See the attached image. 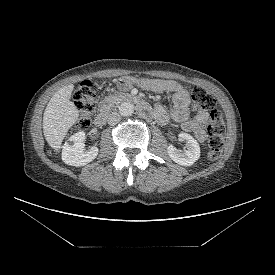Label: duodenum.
Listing matches in <instances>:
<instances>
[{
	"mask_svg": "<svg viewBox=\"0 0 275 275\" xmlns=\"http://www.w3.org/2000/svg\"><path fill=\"white\" fill-rule=\"evenodd\" d=\"M127 100L134 102L137 105L141 115L146 117L154 115L151 106L144 100L140 99L139 97L130 96L127 98ZM108 115H109L108 109L101 110L100 113L95 118V121H94L95 125L98 127L103 126L107 121Z\"/></svg>",
	"mask_w": 275,
	"mask_h": 275,
	"instance_id": "410a0bca",
	"label": "duodenum"
}]
</instances>
